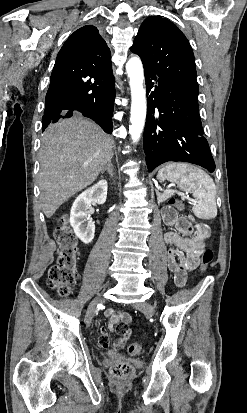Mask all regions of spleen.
Here are the masks:
<instances>
[{
	"label": "spleen",
	"instance_id": "spleen-1",
	"mask_svg": "<svg viewBox=\"0 0 247 413\" xmlns=\"http://www.w3.org/2000/svg\"><path fill=\"white\" fill-rule=\"evenodd\" d=\"M182 168H178L176 172H171L168 164L163 166L158 170L157 178L159 180H172V182H177L178 186L182 190L188 192H193V196L198 198V204H196L195 211H197L200 204H204V209L202 213L206 217H216V186L213 178L201 170V168H196V166H187L185 162H182Z\"/></svg>",
	"mask_w": 247,
	"mask_h": 413
}]
</instances>
